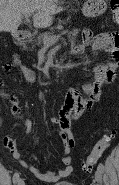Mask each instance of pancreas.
<instances>
[{"mask_svg":"<svg viewBox=\"0 0 119 185\" xmlns=\"http://www.w3.org/2000/svg\"><path fill=\"white\" fill-rule=\"evenodd\" d=\"M72 34H73V35L78 34V30H74V31L72 32ZM46 36H47V37H51V36H52V33H51V32H47V33L44 34V35L34 37L31 41H32L33 43H35V45L40 46V45L43 43V38L46 37Z\"/></svg>","mask_w":119,"mask_h":185,"instance_id":"1","label":"pancreas"}]
</instances>
